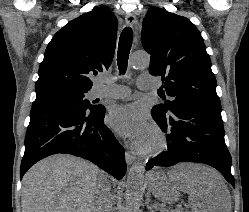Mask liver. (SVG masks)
Wrapping results in <instances>:
<instances>
[{
  "mask_svg": "<svg viewBox=\"0 0 249 212\" xmlns=\"http://www.w3.org/2000/svg\"><path fill=\"white\" fill-rule=\"evenodd\" d=\"M97 166L69 154L34 164L22 178V212H92L99 174ZM149 192L164 204L188 194L192 212H232L223 176L203 164H177L167 174H147Z\"/></svg>",
  "mask_w": 249,
  "mask_h": 212,
  "instance_id": "obj_1",
  "label": "liver"
}]
</instances>
